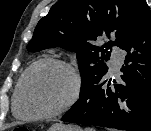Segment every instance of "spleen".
<instances>
[{
    "label": "spleen",
    "mask_w": 151,
    "mask_h": 131,
    "mask_svg": "<svg viewBox=\"0 0 151 131\" xmlns=\"http://www.w3.org/2000/svg\"><path fill=\"white\" fill-rule=\"evenodd\" d=\"M85 131H95V129L92 128H86Z\"/></svg>",
    "instance_id": "obj_1"
}]
</instances>
